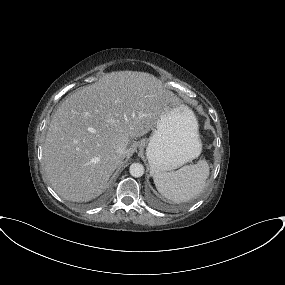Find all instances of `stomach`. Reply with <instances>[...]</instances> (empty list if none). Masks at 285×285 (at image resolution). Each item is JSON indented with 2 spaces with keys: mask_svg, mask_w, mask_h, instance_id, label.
<instances>
[{
  "mask_svg": "<svg viewBox=\"0 0 285 285\" xmlns=\"http://www.w3.org/2000/svg\"><path fill=\"white\" fill-rule=\"evenodd\" d=\"M164 102L169 110L153 129L146 147L153 175L181 167L198 157L202 150L198 122L192 110L172 93Z\"/></svg>",
  "mask_w": 285,
  "mask_h": 285,
  "instance_id": "0dacf381",
  "label": "stomach"
}]
</instances>
